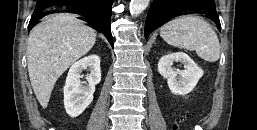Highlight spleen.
<instances>
[{
    "label": "spleen",
    "mask_w": 257,
    "mask_h": 130,
    "mask_svg": "<svg viewBox=\"0 0 257 130\" xmlns=\"http://www.w3.org/2000/svg\"><path fill=\"white\" fill-rule=\"evenodd\" d=\"M160 36L172 46L195 50L207 62H216L220 57V44L215 31L199 16L186 15L169 21L161 27Z\"/></svg>",
    "instance_id": "obj_1"
}]
</instances>
